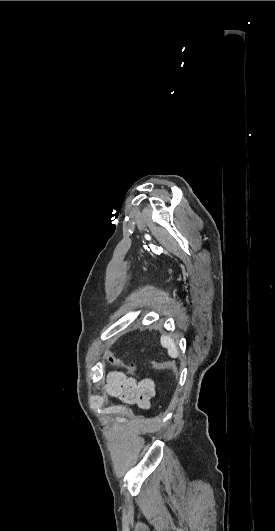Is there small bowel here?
<instances>
[{"instance_id": "small-bowel-1", "label": "small bowel", "mask_w": 275, "mask_h": 531, "mask_svg": "<svg viewBox=\"0 0 275 531\" xmlns=\"http://www.w3.org/2000/svg\"><path fill=\"white\" fill-rule=\"evenodd\" d=\"M104 391L126 405L147 410L151 399L156 397V384L151 378L137 379L122 371H111L107 374Z\"/></svg>"}]
</instances>
